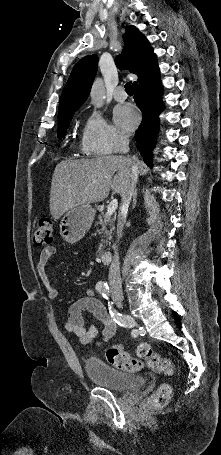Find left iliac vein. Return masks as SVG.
Wrapping results in <instances>:
<instances>
[{"label": "left iliac vein", "mask_w": 221, "mask_h": 455, "mask_svg": "<svg viewBox=\"0 0 221 455\" xmlns=\"http://www.w3.org/2000/svg\"><path fill=\"white\" fill-rule=\"evenodd\" d=\"M118 308H122L123 305L121 303L116 302Z\"/></svg>", "instance_id": "left-iliac-vein-1"}]
</instances>
